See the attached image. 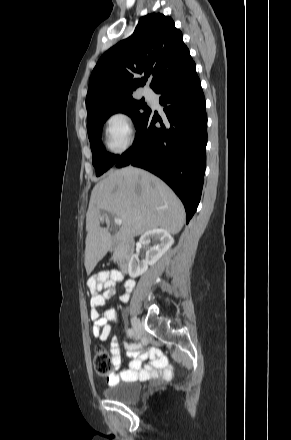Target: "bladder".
Listing matches in <instances>:
<instances>
[{"mask_svg": "<svg viewBox=\"0 0 291 440\" xmlns=\"http://www.w3.org/2000/svg\"><path fill=\"white\" fill-rule=\"evenodd\" d=\"M103 395L112 401L128 404L140 398L141 390L138 381H129L104 389Z\"/></svg>", "mask_w": 291, "mask_h": 440, "instance_id": "obj_1", "label": "bladder"}]
</instances>
